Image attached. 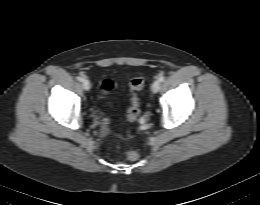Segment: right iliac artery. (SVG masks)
I'll use <instances>...</instances> for the list:
<instances>
[{"label":"right iliac artery","instance_id":"right-iliac-artery-1","mask_svg":"<svg viewBox=\"0 0 260 205\" xmlns=\"http://www.w3.org/2000/svg\"><path fill=\"white\" fill-rule=\"evenodd\" d=\"M77 80L80 81V82H82V81L84 80V78L81 77V76H78V77H77Z\"/></svg>","mask_w":260,"mask_h":205}]
</instances>
